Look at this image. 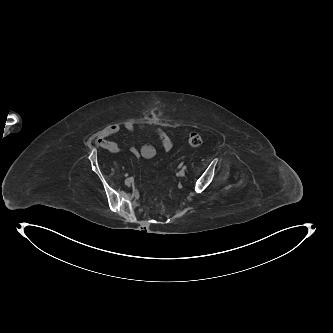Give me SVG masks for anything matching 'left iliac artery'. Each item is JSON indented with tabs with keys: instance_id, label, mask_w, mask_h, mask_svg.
<instances>
[{
	"instance_id": "left-iliac-artery-1",
	"label": "left iliac artery",
	"mask_w": 333,
	"mask_h": 333,
	"mask_svg": "<svg viewBox=\"0 0 333 333\" xmlns=\"http://www.w3.org/2000/svg\"><path fill=\"white\" fill-rule=\"evenodd\" d=\"M181 165H182V164H181ZM185 169H186V166H183V167H182V170H185Z\"/></svg>"
}]
</instances>
